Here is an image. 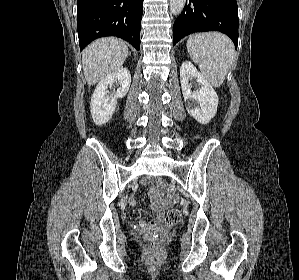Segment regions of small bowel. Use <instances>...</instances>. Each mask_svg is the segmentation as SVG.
<instances>
[{"instance_id": "obj_1", "label": "small bowel", "mask_w": 299, "mask_h": 280, "mask_svg": "<svg viewBox=\"0 0 299 280\" xmlns=\"http://www.w3.org/2000/svg\"><path fill=\"white\" fill-rule=\"evenodd\" d=\"M146 182H148V180H146ZM162 183H164L162 179H154L153 185L149 190V197L151 199L152 206L157 211H160L163 207V197L161 192V190L163 189L161 186ZM129 203L131 205H134V200L130 199Z\"/></svg>"}]
</instances>
